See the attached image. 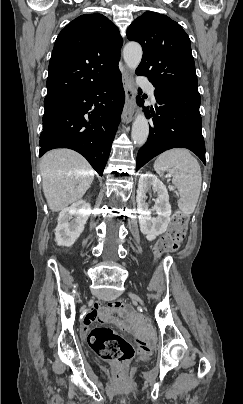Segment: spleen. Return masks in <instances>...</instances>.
<instances>
[{
  "label": "spleen",
  "instance_id": "obj_1",
  "mask_svg": "<svg viewBox=\"0 0 243 404\" xmlns=\"http://www.w3.org/2000/svg\"><path fill=\"white\" fill-rule=\"evenodd\" d=\"M154 170L163 176L164 172H169L173 176L172 184L179 192L177 206L183 216L193 214L201 192V170L200 166L185 148H173L164 154H160L155 160Z\"/></svg>",
  "mask_w": 243,
  "mask_h": 404
}]
</instances>
